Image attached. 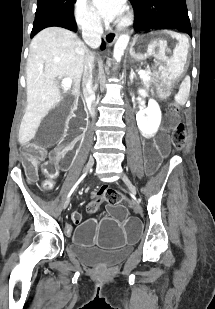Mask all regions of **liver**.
Returning a JSON list of instances; mask_svg holds the SVG:
<instances>
[{"mask_svg": "<svg viewBox=\"0 0 215 309\" xmlns=\"http://www.w3.org/2000/svg\"><path fill=\"white\" fill-rule=\"evenodd\" d=\"M90 50L75 32L59 26L40 30L31 40L27 58V106L18 140L26 144L34 138L44 116L63 96L57 78H72L73 94H79L85 58Z\"/></svg>", "mask_w": 215, "mask_h": 309, "instance_id": "obj_1", "label": "liver"}]
</instances>
